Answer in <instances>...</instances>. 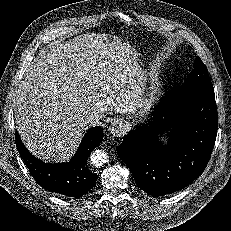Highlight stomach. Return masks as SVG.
I'll return each instance as SVG.
<instances>
[{"mask_svg": "<svg viewBox=\"0 0 231 231\" xmlns=\"http://www.w3.org/2000/svg\"><path fill=\"white\" fill-rule=\"evenodd\" d=\"M140 81H141V83H142V86H143V84H145V82H146V77H145L143 74L140 75ZM148 106H149L148 100L145 99V98H143L142 101H141V103H140V106H139V107H141V108L143 109V111L145 112V110L148 108Z\"/></svg>", "mask_w": 231, "mask_h": 231, "instance_id": "1", "label": "stomach"}]
</instances>
